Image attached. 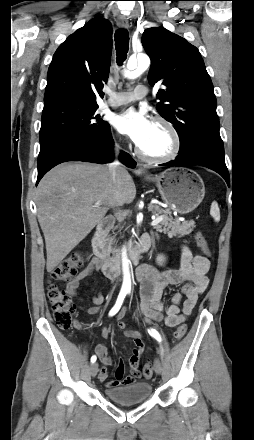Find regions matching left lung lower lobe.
Segmentation results:
<instances>
[{"label":"left lung lower lobe","instance_id":"0a47b994","mask_svg":"<svg viewBox=\"0 0 254 440\" xmlns=\"http://www.w3.org/2000/svg\"><path fill=\"white\" fill-rule=\"evenodd\" d=\"M163 166L190 167L203 166L219 173L229 185V173L224 159V146L221 138L203 137L185 154H178L174 161Z\"/></svg>","mask_w":254,"mask_h":440}]
</instances>
